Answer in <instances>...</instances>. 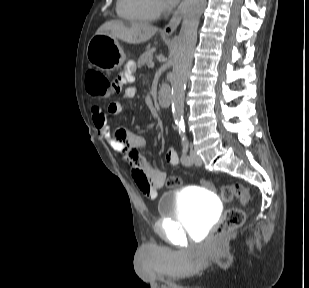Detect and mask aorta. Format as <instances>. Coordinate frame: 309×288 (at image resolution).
Wrapping results in <instances>:
<instances>
[{
    "mask_svg": "<svg viewBox=\"0 0 309 288\" xmlns=\"http://www.w3.org/2000/svg\"><path fill=\"white\" fill-rule=\"evenodd\" d=\"M207 0H186L181 30L175 47L171 80V103L174 122L184 137V99L193 51L197 42V30Z\"/></svg>",
    "mask_w": 309,
    "mask_h": 288,
    "instance_id": "762f6f07",
    "label": "aorta"
}]
</instances>
